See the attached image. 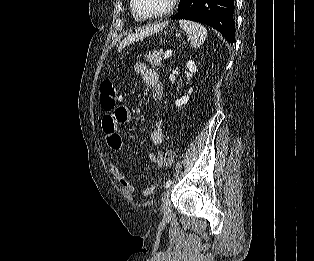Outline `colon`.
<instances>
[{"instance_id": "obj_1", "label": "colon", "mask_w": 314, "mask_h": 261, "mask_svg": "<svg viewBox=\"0 0 314 261\" xmlns=\"http://www.w3.org/2000/svg\"><path fill=\"white\" fill-rule=\"evenodd\" d=\"M100 92V105L104 112L108 113V109H118L120 107L123 94L112 81H104L101 85ZM173 160V152L167 151L162 157V164L164 166H171Z\"/></svg>"}]
</instances>
